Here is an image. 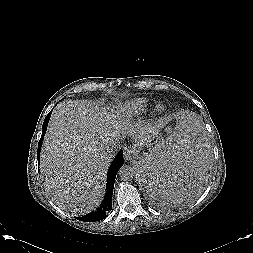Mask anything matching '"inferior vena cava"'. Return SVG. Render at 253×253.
I'll list each match as a JSON object with an SVG mask.
<instances>
[{
    "mask_svg": "<svg viewBox=\"0 0 253 253\" xmlns=\"http://www.w3.org/2000/svg\"><path fill=\"white\" fill-rule=\"evenodd\" d=\"M119 149H120L119 143L118 144L114 143V144L107 147V151L111 154L116 153Z\"/></svg>",
    "mask_w": 253,
    "mask_h": 253,
    "instance_id": "602c4592",
    "label": "inferior vena cava"
}]
</instances>
